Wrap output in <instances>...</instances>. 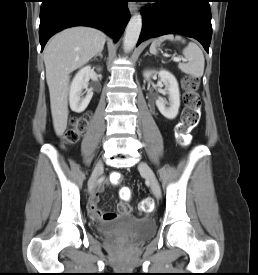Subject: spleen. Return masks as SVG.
Returning <instances> with one entry per match:
<instances>
[{
  "label": "spleen",
  "instance_id": "spleen-1",
  "mask_svg": "<svg viewBox=\"0 0 258 275\" xmlns=\"http://www.w3.org/2000/svg\"><path fill=\"white\" fill-rule=\"evenodd\" d=\"M166 39L170 41H180L182 43L186 42L185 39H183L181 36L177 35L174 37V35H165L152 42L150 46V52L152 54H156L157 47L160 45V42ZM182 53L187 60V63H179V69L192 77L200 78L204 73L205 66L204 55L200 47L193 42H189L188 45L183 49Z\"/></svg>",
  "mask_w": 258,
  "mask_h": 275
}]
</instances>
